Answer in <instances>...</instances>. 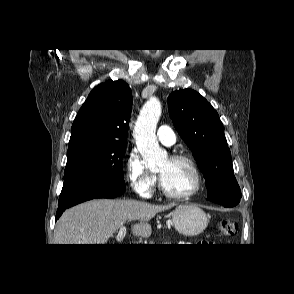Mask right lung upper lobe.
I'll use <instances>...</instances> for the list:
<instances>
[{
  "label": "right lung upper lobe",
  "instance_id": "1",
  "mask_svg": "<svg viewBox=\"0 0 294 294\" xmlns=\"http://www.w3.org/2000/svg\"><path fill=\"white\" fill-rule=\"evenodd\" d=\"M132 92L122 80L99 84L76 115L69 145L81 142L127 145Z\"/></svg>",
  "mask_w": 294,
  "mask_h": 294
}]
</instances>
